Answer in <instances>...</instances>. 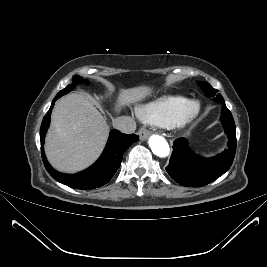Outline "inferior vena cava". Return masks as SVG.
<instances>
[{
    "label": "inferior vena cava",
    "instance_id": "602c4592",
    "mask_svg": "<svg viewBox=\"0 0 267 267\" xmlns=\"http://www.w3.org/2000/svg\"><path fill=\"white\" fill-rule=\"evenodd\" d=\"M113 127L122 133L130 134L136 130V123L129 116H120L113 120Z\"/></svg>",
    "mask_w": 267,
    "mask_h": 267
}]
</instances>
